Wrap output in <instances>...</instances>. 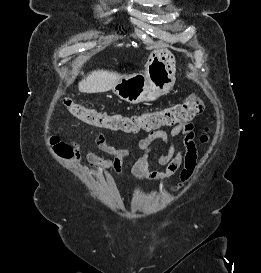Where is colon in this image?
Here are the masks:
<instances>
[{"instance_id":"colon-1","label":"colon","mask_w":261,"mask_h":273,"mask_svg":"<svg viewBox=\"0 0 261 273\" xmlns=\"http://www.w3.org/2000/svg\"><path fill=\"white\" fill-rule=\"evenodd\" d=\"M64 104L73 116L86 124L125 132L153 130L162 126L184 124L198 117L204 111V103L197 95H190L183 102L159 111L131 116L110 115L103 111L83 107L68 98L64 100ZM207 139L206 134L201 136L202 142H206ZM50 145L58 158L70 160L74 157L72 147L60 137L52 136Z\"/></svg>"}]
</instances>
